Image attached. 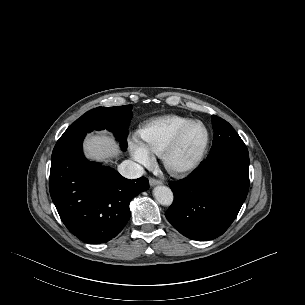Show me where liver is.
I'll list each match as a JSON object with an SVG mask.
<instances>
[{
    "label": "liver",
    "instance_id": "liver-1",
    "mask_svg": "<svg viewBox=\"0 0 305 305\" xmlns=\"http://www.w3.org/2000/svg\"><path fill=\"white\" fill-rule=\"evenodd\" d=\"M86 156L92 160L101 161L118 154L113 138L106 134L91 135L84 143Z\"/></svg>",
    "mask_w": 305,
    "mask_h": 305
}]
</instances>
